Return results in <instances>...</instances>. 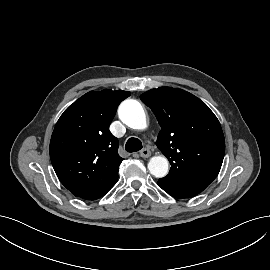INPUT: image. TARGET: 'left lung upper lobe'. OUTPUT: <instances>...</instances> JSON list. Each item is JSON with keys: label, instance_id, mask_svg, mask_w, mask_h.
<instances>
[{"label": "left lung upper lobe", "instance_id": "left-lung-upper-lobe-1", "mask_svg": "<svg viewBox=\"0 0 270 270\" xmlns=\"http://www.w3.org/2000/svg\"><path fill=\"white\" fill-rule=\"evenodd\" d=\"M160 126L156 145L171 164L161 182L209 185L218 175L225 153L221 125L209 107L193 94L172 87L143 93Z\"/></svg>", "mask_w": 270, "mask_h": 270}]
</instances>
